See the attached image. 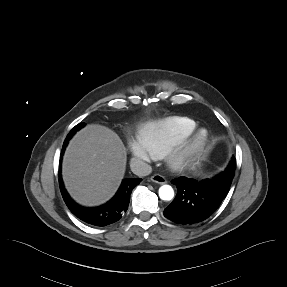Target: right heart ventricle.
<instances>
[{"mask_svg": "<svg viewBox=\"0 0 287 287\" xmlns=\"http://www.w3.org/2000/svg\"><path fill=\"white\" fill-rule=\"evenodd\" d=\"M193 120L183 116H169L146 122L142 135L148 140L156 157L164 156L170 149L188 138L195 130Z\"/></svg>", "mask_w": 287, "mask_h": 287, "instance_id": "e07e8e85", "label": "right heart ventricle"}]
</instances>
